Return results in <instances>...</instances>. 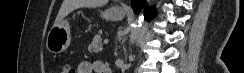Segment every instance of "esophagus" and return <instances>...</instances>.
I'll return each mask as SVG.
<instances>
[{"label":"esophagus","instance_id":"34e87169","mask_svg":"<svg viewBox=\"0 0 244 73\" xmlns=\"http://www.w3.org/2000/svg\"><path fill=\"white\" fill-rule=\"evenodd\" d=\"M123 8H124L125 10H127V7H126V6H123Z\"/></svg>","mask_w":244,"mask_h":73}]
</instances>
